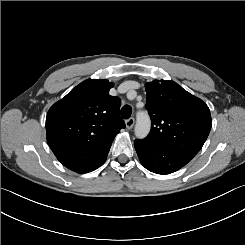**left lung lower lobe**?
<instances>
[{"label": "left lung lower lobe", "instance_id": "1", "mask_svg": "<svg viewBox=\"0 0 245 245\" xmlns=\"http://www.w3.org/2000/svg\"><path fill=\"white\" fill-rule=\"evenodd\" d=\"M134 146L141 164L149 171L157 174L173 173L189 162L173 151L149 146L139 140L134 141Z\"/></svg>", "mask_w": 245, "mask_h": 245}]
</instances>
